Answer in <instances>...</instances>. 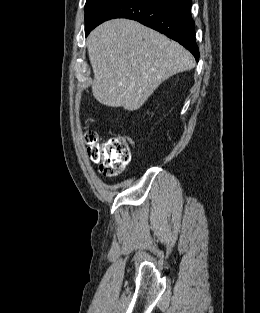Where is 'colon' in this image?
Returning a JSON list of instances; mask_svg holds the SVG:
<instances>
[{
	"label": "colon",
	"mask_w": 260,
	"mask_h": 313,
	"mask_svg": "<svg viewBox=\"0 0 260 313\" xmlns=\"http://www.w3.org/2000/svg\"><path fill=\"white\" fill-rule=\"evenodd\" d=\"M89 158L99 164V173L106 177L119 175L130 162L131 147L124 134H116L105 141H99L96 132L87 130L84 134Z\"/></svg>",
	"instance_id": "obj_1"
}]
</instances>
